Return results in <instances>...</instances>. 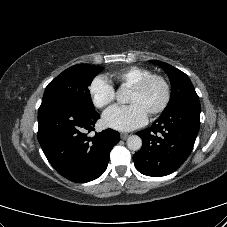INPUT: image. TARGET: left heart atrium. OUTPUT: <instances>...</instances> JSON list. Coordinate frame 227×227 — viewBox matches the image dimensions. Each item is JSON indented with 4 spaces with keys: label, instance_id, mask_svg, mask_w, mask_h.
<instances>
[{
    "label": "left heart atrium",
    "instance_id": "obj_1",
    "mask_svg": "<svg viewBox=\"0 0 227 227\" xmlns=\"http://www.w3.org/2000/svg\"><path fill=\"white\" fill-rule=\"evenodd\" d=\"M148 119L145 109L138 103L113 106L103 114L104 123L119 131H131L143 126Z\"/></svg>",
    "mask_w": 227,
    "mask_h": 227
}]
</instances>
